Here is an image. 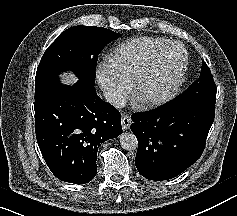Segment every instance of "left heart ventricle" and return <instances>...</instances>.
Wrapping results in <instances>:
<instances>
[{"instance_id": "left-heart-ventricle-1", "label": "left heart ventricle", "mask_w": 237, "mask_h": 216, "mask_svg": "<svg viewBox=\"0 0 237 216\" xmlns=\"http://www.w3.org/2000/svg\"><path fill=\"white\" fill-rule=\"evenodd\" d=\"M183 63L181 53L157 61L140 83L139 96L156 98L162 95L177 79Z\"/></svg>"}]
</instances>
